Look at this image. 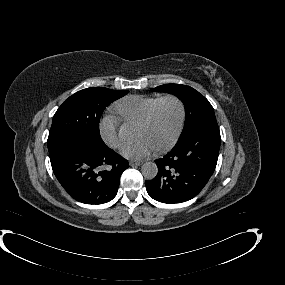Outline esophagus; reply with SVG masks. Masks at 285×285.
<instances>
[{
    "instance_id": "obj_1",
    "label": "esophagus",
    "mask_w": 285,
    "mask_h": 285,
    "mask_svg": "<svg viewBox=\"0 0 285 285\" xmlns=\"http://www.w3.org/2000/svg\"><path fill=\"white\" fill-rule=\"evenodd\" d=\"M142 163H143V161H134V160H132V161L129 162V165L130 166H140Z\"/></svg>"
}]
</instances>
